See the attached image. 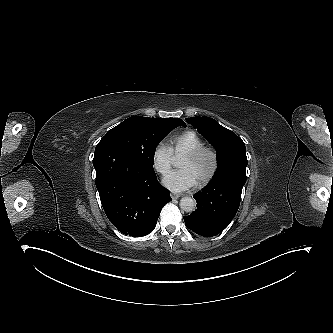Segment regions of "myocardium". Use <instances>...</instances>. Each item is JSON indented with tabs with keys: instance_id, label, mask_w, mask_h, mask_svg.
I'll return each mask as SVG.
<instances>
[{
	"instance_id": "myocardium-1",
	"label": "myocardium",
	"mask_w": 333,
	"mask_h": 333,
	"mask_svg": "<svg viewBox=\"0 0 333 333\" xmlns=\"http://www.w3.org/2000/svg\"><path fill=\"white\" fill-rule=\"evenodd\" d=\"M203 156H207L209 158V166L202 175L195 178L197 184H204V183L208 182L215 174L216 169H217L216 153L211 148L200 147V148L195 149L192 152L188 153L180 161V164L183 166L185 163L196 162Z\"/></svg>"
}]
</instances>
